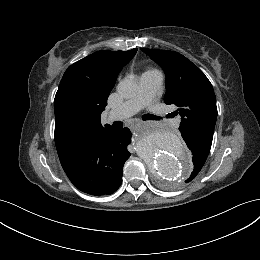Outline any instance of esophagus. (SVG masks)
<instances>
[{"mask_svg": "<svg viewBox=\"0 0 260 260\" xmlns=\"http://www.w3.org/2000/svg\"><path fill=\"white\" fill-rule=\"evenodd\" d=\"M137 123L138 124H144L145 122L144 121H138Z\"/></svg>", "mask_w": 260, "mask_h": 260, "instance_id": "1", "label": "esophagus"}]
</instances>
